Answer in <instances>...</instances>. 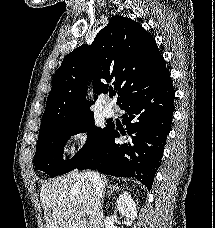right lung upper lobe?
Wrapping results in <instances>:
<instances>
[{
	"mask_svg": "<svg viewBox=\"0 0 215 228\" xmlns=\"http://www.w3.org/2000/svg\"><path fill=\"white\" fill-rule=\"evenodd\" d=\"M168 75L155 39L132 19L113 16L90 46L84 44L64 58L53 76L41 127L93 115L92 103L85 100L89 79H94L97 95L108 88L103 82H112L120 105L135 84Z\"/></svg>",
	"mask_w": 215,
	"mask_h": 228,
	"instance_id": "1",
	"label": "right lung upper lobe"
}]
</instances>
